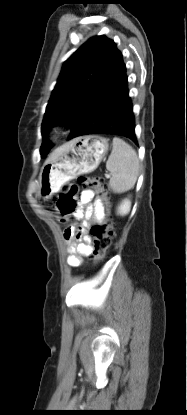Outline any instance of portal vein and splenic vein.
I'll use <instances>...</instances> for the list:
<instances>
[{"label": "portal vein and splenic vein", "mask_w": 187, "mask_h": 415, "mask_svg": "<svg viewBox=\"0 0 187 415\" xmlns=\"http://www.w3.org/2000/svg\"><path fill=\"white\" fill-rule=\"evenodd\" d=\"M105 178L109 179L110 178V174H105Z\"/></svg>", "instance_id": "portal-vein-and-splenic-vein-1"}]
</instances>
